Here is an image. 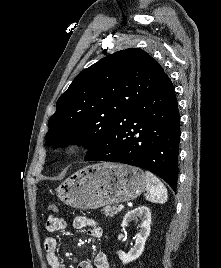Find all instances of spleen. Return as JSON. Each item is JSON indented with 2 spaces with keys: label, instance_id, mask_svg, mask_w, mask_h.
Instances as JSON below:
<instances>
[{
  "label": "spleen",
  "instance_id": "1",
  "mask_svg": "<svg viewBox=\"0 0 221 268\" xmlns=\"http://www.w3.org/2000/svg\"><path fill=\"white\" fill-rule=\"evenodd\" d=\"M146 200L153 203H165L167 201V189L164 184L151 172L146 171Z\"/></svg>",
  "mask_w": 221,
  "mask_h": 268
}]
</instances>
